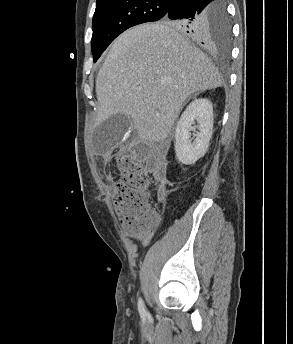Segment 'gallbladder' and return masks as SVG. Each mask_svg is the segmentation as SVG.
Instances as JSON below:
<instances>
[{"label": "gallbladder", "mask_w": 293, "mask_h": 344, "mask_svg": "<svg viewBox=\"0 0 293 344\" xmlns=\"http://www.w3.org/2000/svg\"><path fill=\"white\" fill-rule=\"evenodd\" d=\"M131 125L132 119L123 114H114L102 121L92 136L95 151L99 154L111 152L122 140Z\"/></svg>", "instance_id": "1"}]
</instances>
